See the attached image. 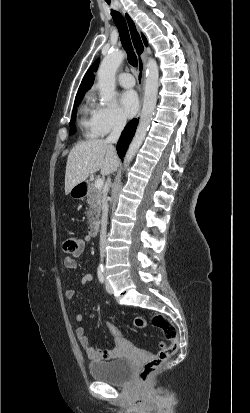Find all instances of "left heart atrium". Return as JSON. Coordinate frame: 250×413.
I'll return each mask as SVG.
<instances>
[{"mask_svg":"<svg viewBox=\"0 0 250 413\" xmlns=\"http://www.w3.org/2000/svg\"><path fill=\"white\" fill-rule=\"evenodd\" d=\"M120 104L124 113L128 117L134 116L139 108V100L137 94L132 91H125L120 96Z\"/></svg>","mask_w":250,"mask_h":413,"instance_id":"1","label":"left heart atrium"}]
</instances>
